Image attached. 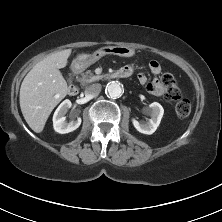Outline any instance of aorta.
Masks as SVG:
<instances>
[{"mask_svg":"<svg viewBox=\"0 0 222 222\" xmlns=\"http://www.w3.org/2000/svg\"><path fill=\"white\" fill-rule=\"evenodd\" d=\"M123 88L120 83L116 81L109 82L106 86V93L112 98H118L122 95Z\"/></svg>","mask_w":222,"mask_h":222,"instance_id":"aorta-1","label":"aorta"}]
</instances>
